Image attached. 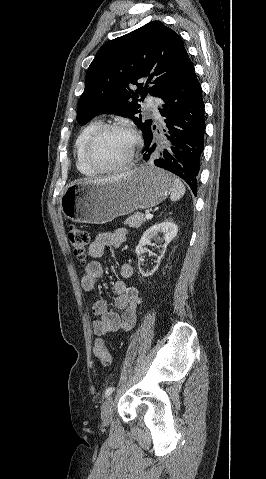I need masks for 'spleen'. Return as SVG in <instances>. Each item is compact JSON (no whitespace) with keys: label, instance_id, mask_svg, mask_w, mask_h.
<instances>
[{"label":"spleen","instance_id":"1","mask_svg":"<svg viewBox=\"0 0 266 479\" xmlns=\"http://www.w3.org/2000/svg\"><path fill=\"white\" fill-rule=\"evenodd\" d=\"M185 191H186L185 186L180 181V179L175 178L173 180V188L171 191L170 199L172 201L179 200L181 197H183V195L185 194Z\"/></svg>","mask_w":266,"mask_h":479}]
</instances>
